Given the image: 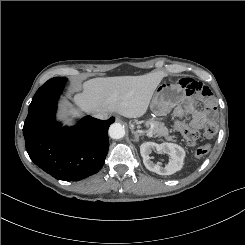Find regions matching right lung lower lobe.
<instances>
[{
	"mask_svg": "<svg viewBox=\"0 0 245 245\" xmlns=\"http://www.w3.org/2000/svg\"><path fill=\"white\" fill-rule=\"evenodd\" d=\"M67 79L52 78L41 86L29 105L23 133L31 160L58 180L78 181L97 173L108 149L106 121L87 116L74 127L55 121L57 101Z\"/></svg>",
	"mask_w": 245,
	"mask_h": 245,
	"instance_id": "obj_1",
	"label": "right lung lower lobe"
}]
</instances>
